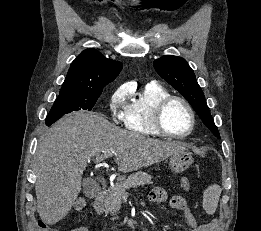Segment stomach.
Masks as SVG:
<instances>
[{
    "mask_svg": "<svg viewBox=\"0 0 261 231\" xmlns=\"http://www.w3.org/2000/svg\"><path fill=\"white\" fill-rule=\"evenodd\" d=\"M193 162L192 154L184 150L171 155L169 166L174 173H180L186 170Z\"/></svg>",
    "mask_w": 261,
    "mask_h": 231,
    "instance_id": "obj_1",
    "label": "stomach"
}]
</instances>
